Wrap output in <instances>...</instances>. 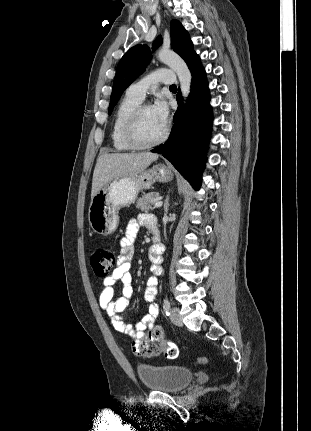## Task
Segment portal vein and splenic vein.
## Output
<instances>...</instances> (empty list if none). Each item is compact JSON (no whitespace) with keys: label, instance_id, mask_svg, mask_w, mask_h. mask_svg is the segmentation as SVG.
I'll use <instances>...</instances> for the list:
<instances>
[{"label":"portal vein and splenic vein","instance_id":"18ae733b","mask_svg":"<svg viewBox=\"0 0 311 431\" xmlns=\"http://www.w3.org/2000/svg\"><path fill=\"white\" fill-rule=\"evenodd\" d=\"M153 206L154 208H161V206H163V202H161V200H157V202H154Z\"/></svg>","mask_w":311,"mask_h":431}]
</instances>
